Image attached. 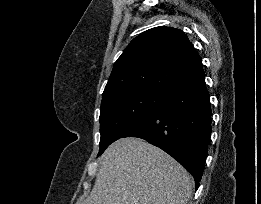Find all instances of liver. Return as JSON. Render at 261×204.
I'll return each instance as SVG.
<instances>
[{
	"label": "liver",
	"mask_w": 261,
	"mask_h": 204,
	"mask_svg": "<svg viewBox=\"0 0 261 204\" xmlns=\"http://www.w3.org/2000/svg\"><path fill=\"white\" fill-rule=\"evenodd\" d=\"M90 195L77 204H187L193 178L170 155L139 138H122L102 155Z\"/></svg>",
	"instance_id": "6515ba94"
}]
</instances>
